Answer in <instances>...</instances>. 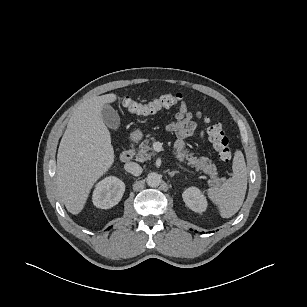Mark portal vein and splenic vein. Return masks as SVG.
<instances>
[{"instance_id":"obj_1","label":"portal vein and splenic vein","mask_w":307,"mask_h":307,"mask_svg":"<svg viewBox=\"0 0 307 307\" xmlns=\"http://www.w3.org/2000/svg\"><path fill=\"white\" fill-rule=\"evenodd\" d=\"M176 164H177L181 169H184L185 171H188V172H189V170L183 168L179 163L176 162Z\"/></svg>"}]
</instances>
